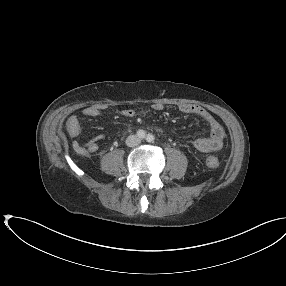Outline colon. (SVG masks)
<instances>
[{
	"mask_svg": "<svg viewBox=\"0 0 286 286\" xmlns=\"http://www.w3.org/2000/svg\"><path fill=\"white\" fill-rule=\"evenodd\" d=\"M205 164L209 168H217L219 166V161L214 156H208L205 160Z\"/></svg>",
	"mask_w": 286,
	"mask_h": 286,
	"instance_id": "colon-1",
	"label": "colon"
}]
</instances>
